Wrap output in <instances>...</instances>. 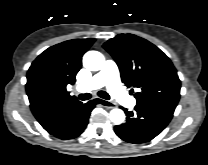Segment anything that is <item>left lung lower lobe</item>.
<instances>
[{"label": "left lung lower lobe", "mask_w": 208, "mask_h": 165, "mask_svg": "<svg viewBox=\"0 0 208 165\" xmlns=\"http://www.w3.org/2000/svg\"><path fill=\"white\" fill-rule=\"evenodd\" d=\"M127 115L124 124L114 127L119 138L129 143H145L155 138L168 125L174 108L138 106L133 111L123 109Z\"/></svg>", "instance_id": "0a47b994"}]
</instances>
